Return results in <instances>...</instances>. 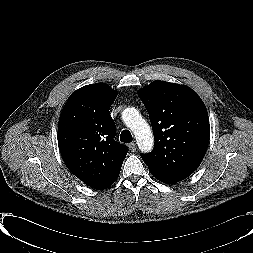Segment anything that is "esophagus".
<instances>
[{"mask_svg":"<svg viewBox=\"0 0 253 253\" xmlns=\"http://www.w3.org/2000/svg\"><path fill=\"white\" fill-rule=\"evenodd\" d=\"M129 149L132 151V152H135L137 150V144L136 143H131L129 144Z\"/></svg>","mask_w":253,"mask_h":253,"instance_id":"1","label":"esophagus"}]
</instances>
